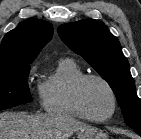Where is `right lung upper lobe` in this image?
I'll return each mask as SVG.
<instances>
[{
    "instance_id": "1",
    "label": "right lung upper lobe",
    "mask_w": 141,
    "mask_h": 139,
    "mask_svg": "<svg viewBox=\"0 0 141 139\" xmlns=\"http://www.w3.org/2000/svg\"><path fill=\"white\" fill-rule=\"evenodd\" d=\"M53 35L52 25L44 20L29 19L8 32L0 46V66L30 64Z\"/></svg>"
}]
</instances>
